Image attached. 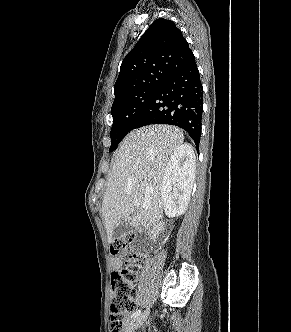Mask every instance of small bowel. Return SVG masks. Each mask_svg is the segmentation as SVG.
I'll return each instance as SVG.
<instances>
[{"instance_id": "1", "label": "small bowel", "mask_w": 291, "mask_h": 332, "mask_svg": "<svg viewBox=\"0 0 291 332\" xmlns=\"http://www.w3.org/2000/svg\"><path fill=\"white\" fill-rule=\"evenodd\" d=\"M112 265L114 267H119L121 265V261L118 258L113 259Z\"/></svg>"}]
</instances>
